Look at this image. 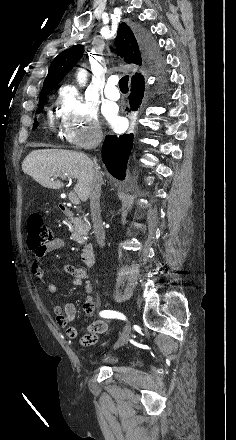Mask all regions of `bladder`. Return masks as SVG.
<instances>
[{
    "label": "bladder",
    "mask_w": 236,
    "mask_h": 440,
    "mask_svg": "<svg viewBox=\"0 0 236 440\" xmlns=\"http://www.w3.org/2000/svg\"><path fill=\"white\" fill-rule=\"evenodd\" d=\"M117 360L118 357L113 351H105L100 354L95 361L104 365H112L115 364Z\"/></svg>",
    "instance_id": "31cf9c89"
}]
</instances>
